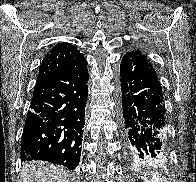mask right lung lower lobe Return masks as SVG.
I'll return each instance as SVG.
<instances>
[{
    "instance_id": "98d812e1",
    "label": "right lung lower lobe",
    "mask_w": 196,
    "mask_h": 182,
    "mask_svg": "<svg viewBox=\"0 0 196 182\" xmlns=\"http://www.w3.org/2000/svg\"><path fill=\"white\" fill-rule=\"evenodd\" d=\"M89 74L84 56L34 87L21 141L22 160L74 170L80 161Z\"/></svg>"
}]
</instances>
